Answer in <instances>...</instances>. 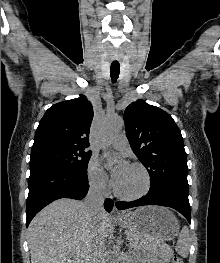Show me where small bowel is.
<instances>
[{"instance_id":"small-bowel-1","label":"small bowel","mask_w":220,"mask_h":263,"mask_svg":"<svg viewBox=\"0 0 220 263\" xmlns=\"http://www.w3.org/2000/svg\"><path fill=\"white\" fill-rule=\"evenodd\" d=\"M152 263H160L159 261H157V260H155V261H153Z\"/></svg>"}]
</instances>
